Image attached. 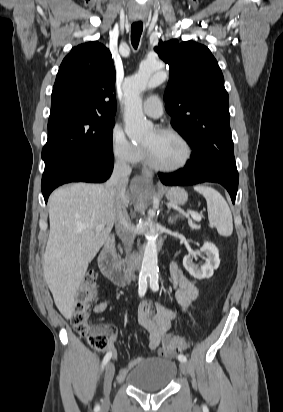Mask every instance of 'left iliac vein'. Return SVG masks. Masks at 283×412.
<instances>
[{
	"label": "left iliac vein",
	"instance_id": "obj_1",
	"mask_svg": "<svg viewBox=\"0 0 283 412\" xmlns=\"http://www.w3.org/2000/svg\"><path fill=\"white\" fill-rule=\"evenodd\" d=\"M180 370H181L182 373L188 374L189 373V366L185 362H181L180 363Z\"/></svg>",
	"mask_w": 283,
	"mask_h": 412
}]
</instances>
